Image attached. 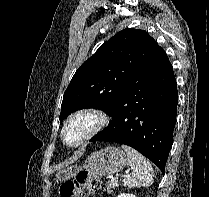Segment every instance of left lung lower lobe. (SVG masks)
<instances>
[{
	"label": "left lung lower lobe",
	"instance_id": "obj_1",
	"mask_svg": "<svg viewBox=\"0 0 209 197\" xmlns=\"http://www.w3.org/2000/svg\"><path fill=\"white\" fill-rule=\"evenodd\" d=\"M178 92L172 65L164 50L144 77L110 112L109 125L90 141H110L133 147L165 172L173 143Z\"/></svg>",
	"mask_w": 209,
	"mask_h": 197
}]
</instances>
